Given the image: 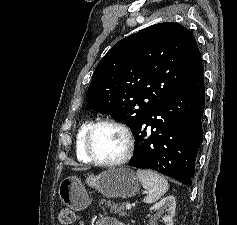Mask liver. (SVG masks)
<instances>
[{
  "label": "liver",
  "instance_id": "1",
  "mask_svg": "<svg viewBox=\"0 0 237 225\" xmlns=\"http://www.w3.org/2000/svg\"><path fill=\"white\" fill-rule=\"evenodd\" d=\"M74 170H75V171H81V170H83V169L75 168Z\"/></svg>",
  "mask_w": 237,
  "mask_h": 225
}]
</instances>
